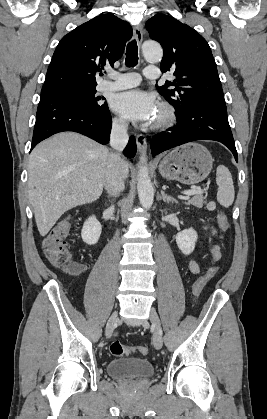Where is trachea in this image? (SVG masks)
<instances>
[{
    "instance_id": "obj_1",
    "label": "trachea",
    "mask_w": 267,
    "mask_h": 419,
    "mask_svg": "<svg viewBox=\"0 0 267 419\" xmlns=\"http://www.w3.org/2000/svg\"><path fill=\"white\" fill-rule=\"evenodd\" d=\"M125 64L127 67H134L138 64V46L135 40L127 44Z\"/></svg>"
}]
</instances>
